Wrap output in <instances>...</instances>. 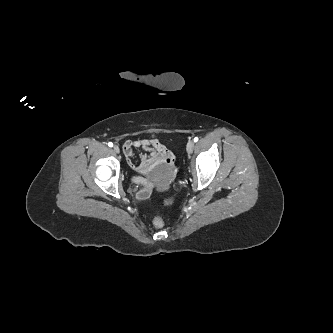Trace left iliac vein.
<instances>
[{"label":"left iliac vein","instance_id":"4c4485c4","mask_svg":"<svg viewBox=\"0 0 333 333\" xmlns=\"http://www.w3.org/2000/svg\"><path fill=\"white\" fill-rule=\"evenodd\" d=\"M186 149H187V152H188V153H192V152H193V149H194V142H193V141H189V142L187 143V147H186Z\"/></svg>","mask_w":333,"mask_h":333}]
</instances>
